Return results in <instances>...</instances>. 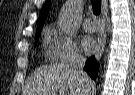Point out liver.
I'll return each instance as SVG.
<instances>
[{"label": "liver", "instance_id": "6515ba94", "mask_svg": "<svg viewBox=\"0 0 135 95\" xmlns=\"http://www.w3.org/2000/svg\"><path fill=\"white\" fill-rule=\"evenodd\" d=\"M93 82L84 83L68 64H53L36 71L26 85L24 95H91Z\"/></svg>", "mask_w": 135, "mask_h": 95}]
</instances>
